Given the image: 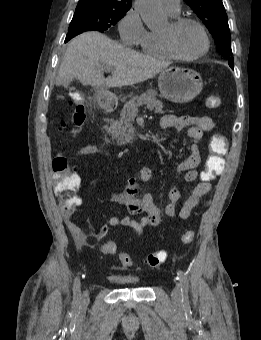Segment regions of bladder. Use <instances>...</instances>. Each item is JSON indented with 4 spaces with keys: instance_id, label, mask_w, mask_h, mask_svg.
<instances>
[{
    "instance_id": "bladder-1",
    "label": "bladder",
    "mask_w": 261,
    "mask_h": 340,
    "mask_svg": "<svg viewBox=\"0 0 261 340\" xmlns=\"http://www.w3.org/2000/svg\"><path fill=\"white\" fill-rule=\"evenodd\" d=\"M109 278L123 285H138L140 283V279L137 276L110 275Z\"/></svg>"
}]
</instances>
